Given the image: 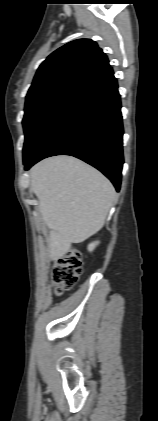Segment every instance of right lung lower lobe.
Here are the masks:
<instances>
[{
    "instance_id": "98d812e1",
    "label": "right lung lower lobe",
    "mask_w": 158,
    "mask_h": 421,
    "mask_svg": "<svg viewBox=\"0 0 158 421\" xmlns=\"http://www.w3.org/2000/svg\"><path fill=\"white\" fill-rule=\"evenodd\" d=\"M120 95L112 68L97 73L64 102L44 128L30 156L28 170L54 155H72L100 170L120 189L123 166Z\"/></svg>"
}]
</instances>
